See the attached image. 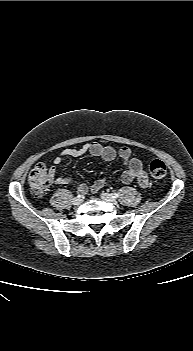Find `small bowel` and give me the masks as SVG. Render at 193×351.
Returning a JSON list of instances; mask_svg holds the SVG:
<instances>
[{
    "mask_svg": "<svg viewBox=\"0 0 193 351\" xmlns=\"http://www.w3.org/2000/svg\"><path fill=\"white\" fill-rule=\"evenodd\" d=\"M89 154L94 157L101 158L104 161H113L117 156L127 166L126 170L121 174L119 181L124 184H129L137 181L141 187H147L148 177L143 169L142 162L135 157H132L131 150L128 147H122L116 150L112 146H104L97 142H90L82 145L79 148L63 149L53 160L54 166L51 169L52 180L56 185H73L80 193H96L107 185L105 178L96 180L91 186L84 183L75 184L69 177L55 175V167L58 166L66 157H80Z\"/></svg>",
    "mask_w": 193,
    "mask_h": 351,
    "instance_id": "small-bowel-1",
    "label": "small bowel"
}]
</instances>
